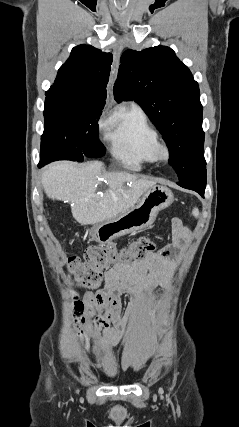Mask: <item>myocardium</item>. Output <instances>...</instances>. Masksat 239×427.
<instances>
[{
	"instance_id": "myocardium-1",
	"label": "myocardium",
	"mask_w": 239,
	"mask_h": 427,
	"mask_svg": "<svg viewBox=\"0 0 239 427\" xmlns=\"http://www.w3.org/2000/svg\"><path fill=\"white\" fill-rule=\"evenodd\" d=\"M152 154L155 161L166 162L171 157V148L167 143L158 140L153 147Z\"/></svg>"
}]
</instances>
